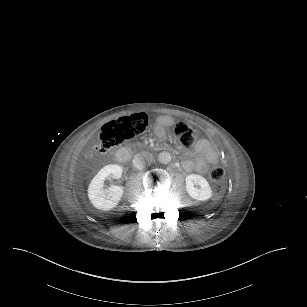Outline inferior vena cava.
I'll return each instance as SVG.
<instances>
[{
  "label": "inferior vena cava",
  "mask_w": 307,
  "mask_h": 307,
  "mask_svg": "<svg viewBox=\"0 0 307 307\" xmlns=\"http://www.w3.org/2000/svg\"><path fill=\"white\" fill-rule=\"evenodd\" d=\"M133 165L136 168L143 169L145 167L141 154H136L133 158Z\"/></svg>",
  "instance_id": "obj_1"
}]
</instances>
